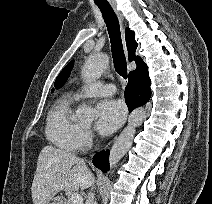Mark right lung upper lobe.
Wrapping results in <instances>:
<instances>
[{
  "mask_svg": "<svg viewBox=\"0 0 212 204\" xmlns=\"http://www.w3.org/2000/svg\"><path fill=\"white\" fill-rule=\"evenodd\" d=\"M125 36H126V44L128 48L129 61L135 60V63L137 64V68H139L142 65H145V63L140 57L135 56L136 48L138 45L137 42L135 41V33L131 31L129 28H126ZM132 72L133 71H131L129 74H131Z\"/></svg>",
  "mask_w": 212,
  "mask_h": 204,
  "instance_id": "cb5924a9",
  "label": "right lung upper lobe"
}]
</instances>
